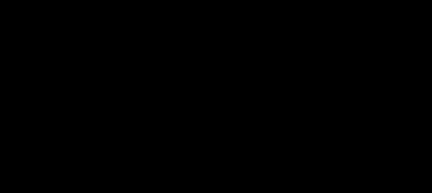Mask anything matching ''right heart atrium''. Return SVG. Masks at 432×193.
<instances>
[{"instance_id": "1", "label": "right heart atrium", "mask_w": 432, "mask_h": 193, "mask_svg": "<svg viewBox=\"0 0 432 193\" xmlns=\"http://www.w3.org/2000/svg\"><path fill=\"white\" fill-rule=\"evenodd\" d=\"M189 80L197 91H209L216 84V77L212 74L206 64H193L187 72ZM204 84H200V83Z\"/></svg>"}]
</instances>
